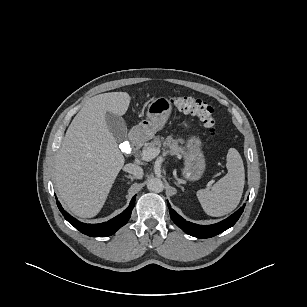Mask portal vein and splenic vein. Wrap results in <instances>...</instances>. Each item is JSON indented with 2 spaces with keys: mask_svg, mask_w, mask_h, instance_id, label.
Instances as JSON below:
<instances>
[{
  "mask_svg": "<svg viewBox=\"0 0 307 307\" xmlns=\"http://www.w3.org/2000/svg\"><path fill=\"white\" fill-rule=\"evenodd\" d=\"M159 152L160 150L157 148H150L143 150L141 156L144 161H150L154 159L159 154Z\"/></svg>",
  "mask_w": 307,
  "mask_h": 307,
  "instance_id": "1",
  "label": "portal vein and splenic vein"
}]
</instances>
